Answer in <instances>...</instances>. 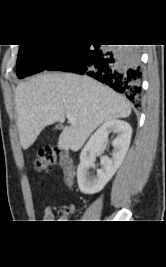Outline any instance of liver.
<instances>
[{
    "label": "liver",
    "instance_id": "liver-1",
    "mask_svg": "<svg viewBox=\"0 0 166 267\" xmlns=\"http://www.w3.org/2000/svg\"><path fill=\"white\" fill-rule=\"evenodd\" d=\"M20 144L28 149L40 132L71 114L76 124L65 126L58 148L78 151L102 123L131 114L130 103L111 88L71 73L44 72L20 83L15 92Z\"/></svg>",
    "mask_w": 166,
    "mask_h": 267
}]
</instances>
